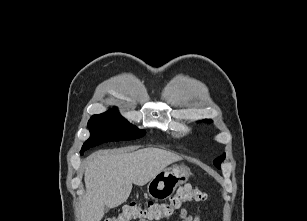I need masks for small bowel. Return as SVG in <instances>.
<instances>
[{
    "label": "small bowel",
    "mask_w": 307,
    "mask_h": 221,
    "mask_svg": "<svg viewBox=\"0 0 307 221\" xmlns=\"http://www.w3.org/2000/svg\"><path fill=\"white\" fill-rule=\"evenodd\" d=\"M179 217L181 221H200V217L198 215H191L184 208L180 209Z\"/></svg>",
    "instance_id": "obj_1"
}]
</instances>
